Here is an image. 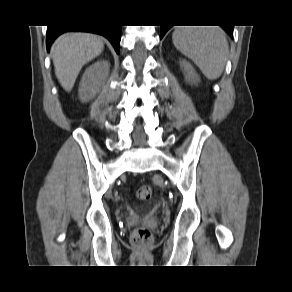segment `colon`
Listing matches in <instances>:
<instances>
[{"label": "colon", "instance_id": "obj_1", "mask_svg": "<svg viewBox=\"0 0 292 292\" xmlns=\"http://www.w3.org/2000/svg\"><path fill=\"white\" fill-rule=\"evenodd\" d=\"M151 196L152 189L149 185H143L139 187L136 191V197L139 200L147 201L151 198ZM151 240H152L151 231L144 226L136 228L131 234V241L133 244L136 245L147 244L150 243Z\"/></svg>", "mask_w": 292, "mask_h": 292}]
</instances>
